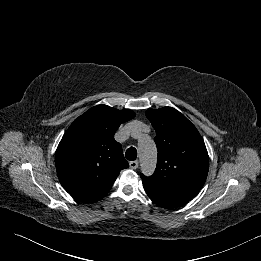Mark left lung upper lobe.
I'll use <instances>...</instances> for the list:
<instances>
[{
    "mask_svg": "<svg viewBox=\"0 0 261 261\" xmlns=\"http://www.w3.org/2000/svg\"><path fill=\"white\" fill-rule=\"evenodd\" d=\"M146 117L156 131L158 155L154 174H141L142 183L196 196L209 168L207 149L198 130L172 107L148 109Z\"/></svg>",
    "mask_w": 261,
    "mask_h": 261,
    "instance_id": "obj_1",
    "label": "left lung upper lobe"
}]
</instances>
